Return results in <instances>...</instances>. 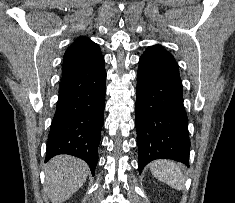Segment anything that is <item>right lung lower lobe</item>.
Wrapping results in <instances>:
<instances>
[{
  "instance_id": "obj_1",
  "label": "right lung lower lobe",
  "mask_w": 235,
  "mask_h": 203,
  "mask_svg": "<svg viewBox=\"0 0 235 203\" xmlns=\"http://www.w3.org/2000/svg\"><path fill=\"white\" fill-rule=\"evenodd\" d=\"M104 63L101 55L83 68L62 76L45 162L55 155L70 154L86 161L94 175L104 121Z\"/></svg>"
}]
</instances>
